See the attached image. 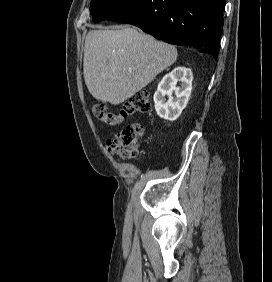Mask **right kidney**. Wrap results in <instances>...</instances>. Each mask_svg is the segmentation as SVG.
Listing matches in <instances>:
<instances>
[{"label": "right kidney", "instance_id": "obj_1", "mask_svg": "<svg viewBox=\"0 0 272 282\" xmlns=\"http://www.w3.org/2000/svg\"><path fill=\"white\" fill-rule=\"evenodd\" d=\"M178 81L182 82L181 87H176ZM192 81L191 69L183 66L174 68L162 78L154 94L155 110L160 118L174 121L181 115L192 91ZM165 96H168L167 101Z\"/></svg>", "mask_w": 272, "mask_h": 282}]
</instances>
